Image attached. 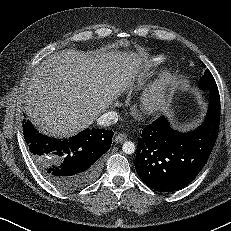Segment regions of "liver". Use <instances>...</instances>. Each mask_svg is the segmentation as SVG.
Instances as JSON below:
<instances>
[{"label": "liver", "mask_w": 231, "mask_h": 231, "mask_svg": "<svg viewBox=\"0 0 231 231\" xmlns=\"http://www.w3.org/2000/svg\"><path fill=\"white\" fill-rule=\"evenodd\" d=\"M143 53L66 49L50 55L26 86L25 110L48 135L69 137L91 125L121 92L142 84ZM146 61V60H145Z\"/></svg>", "instance_id": "6515ba94"}]
</instances>
